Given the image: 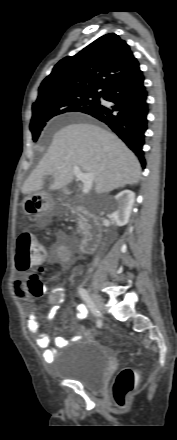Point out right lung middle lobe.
<instances>
[{"mask_svg": "<svg viewBox=\"0 0 177 440\" xmlns=\"http://www.w3.org/2000/svg\"><path fill=\"white\" fill-rule=\"evenodd\" d=\"M102 95L101 93L68 95L57 98L40 107L32 108L33 116L30 123V130L33 135V140L36 141L38 139L46 122L52 117L72 111L86 113L88 110L100 104L99 99Z\"/></svg>", "mask_w": 177, "mask_h": 440, "instance_id": "dd1d6c3e", "label": "right lung middle lobe"}]
</instances>
